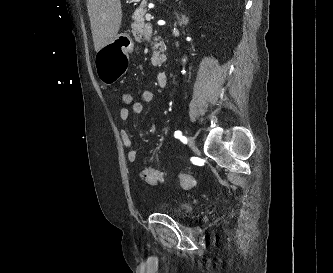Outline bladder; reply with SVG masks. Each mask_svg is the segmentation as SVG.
Segmentation results:
<instances>
[{"mask_svg":"<svg viewBox=\"0 0 333 273\" xmlns=\"http://www.w3.org/2000/svg\"><path fill=\"white\" fill-rule=\"evenodd\" d=\"M191 211L189 204H181L177 209L171 210V214L179 219L186 218Z\"/></svg>","mask_w":333,"mask_h":273,"instance_id":"obj_1","label":"bladder"}]
</instances>
